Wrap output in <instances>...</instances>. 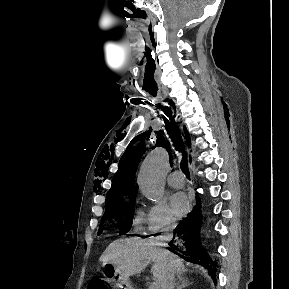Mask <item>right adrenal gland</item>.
I'll return each mask as SVG.
<instances>
[{
	"label": "right adrenal gland",
	"mask_w": 289,
	"mask_h": 289,
	"mask_svg": "<svg viewBox=\"0 0 289 289\" xmlns=\"http://www.w3.org/2000/svg\"><path fill=\"white\" fill-rule=\"evenodd\" d=\"M174 285L176 286V289H185L186 287L190 286L191 283L188 282V280L178 276L177 282L174 283Z\"/></svg>",
	"instance_id": "1"
}]
</instances>
